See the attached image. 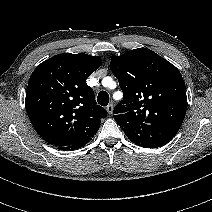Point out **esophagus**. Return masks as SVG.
Here are the masks:
<instances>
[{
  "label": "esophagus",
  "instance_id": "obj_1",
  "mask_svg": "<svg viewBox=\"0 0 212 212\" xmlns=\"http://www.w3.org/2000/svg\"><path fill=\"white\" fill-rule=\"evenodd\" d=\"M106 111H107L108 114H112L113 113V105L112 104H109L106 107Z\"/></svg>",
  "mask_w": 212,
  "mask_h": 212
}]
</instances>
